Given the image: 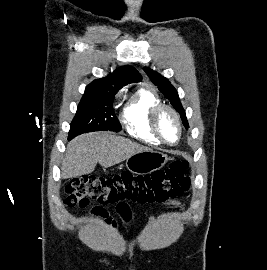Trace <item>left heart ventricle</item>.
<instances>
[{
    "label": "left heart ventricle",
    "mask_w": 267,
    "mask_h": 270,
    "mask_svg": "<svg viewBox=\"0 0 267 270\" xmlns=\"http://www.w3.org/2000/svg\"><path fill=\"white\" fill-rule=\"evenodd\" d=\"M159 128L163 137L167 141L171 143L177 141L179 134L178 125L175 118L170 112L168 111L162 112L159 118Z\"/></svg>",
    "instance_id": "b2bd125f"
}]
</instances>
